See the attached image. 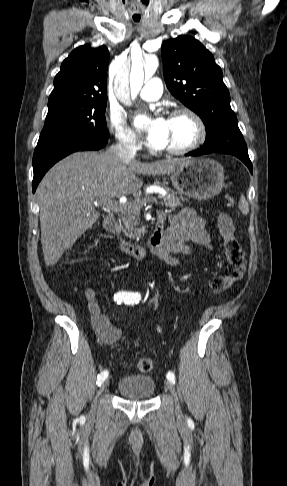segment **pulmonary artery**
<instances>
[{
    "label": "pulmonary artery",
    "instance_id": "1",
    "mask_svg": "<svg viewBox=\"0 0 287 486\" xmlns=\"http://www.w3.org/2000/svg\"><path fill=\"white\" fill-rule=\"evenodd\" d=\"M140 97L146 101L158 100L162 95V83L158 78L150 79L145 83L139 93Z\"/></svg>",
    "mask_w": 287,
    "mask_h": 486
}]
</instances>
